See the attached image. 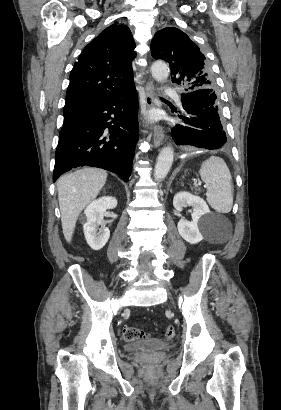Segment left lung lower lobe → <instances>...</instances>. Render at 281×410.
Instances as JSON below:
<instances>
[{"instance_id":"left-lung-lower-lobe-1","label":"left lung lower lobe","mask_w":281,"mask_h":410,"mask_svg":"<svg viewBox=\"0 0 281 410\" xmlns=\"http://www.w3.org/2000/svg\"><path fill=\"white\" fill-rule=\"evenodd\" d=\"M183 123L176 124L172 136L178 145L218 149L227 141L220 121L214 89H198L181 94Z\"/></svg>"}]
</instances>
